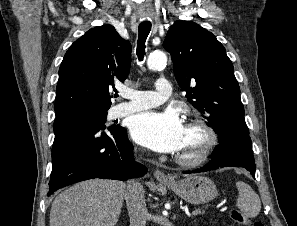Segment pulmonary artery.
Instances as JSON below:
<instances>
[{
    "label": "pulmonary artery",
    "instance_id": "e3ab8cb5",
    "mask_svg": "<svg viewBox=\"0 0 297 226\" xmlns=\"http://www.w3.org/2000/svg\"><path fill=\"white\" fill-rule=\"evenodd\" d=\"M172 90L171 83L165 78H159L154 90L140 91L130 89L122 96L129 101L115 105L111 110L113 118H120L141 110L158 106L166 101Z\"/></svg>",
    "mask_w": 297,
    "mask_h": 226
}]
</instances>
